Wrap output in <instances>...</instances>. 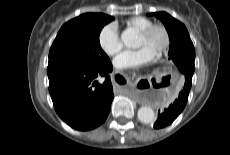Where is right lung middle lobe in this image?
<instances>
[{"mask_svg":"<svg viewBox=\"0 0 230 155\" xmlns=\"http://www.w3.org/2000/svg\"><path fill=\"white\" fill-rule=\"evenodd\" d=\"M113 17L99 16L79 24L62 26L50 52L47 71L59 68H95L110 62L103 52L99 35Z\"/></svg>","mask_w":230,"mask_h":155,"instance_id":"1","label":"right lung middle lobe"}]
</instances>
